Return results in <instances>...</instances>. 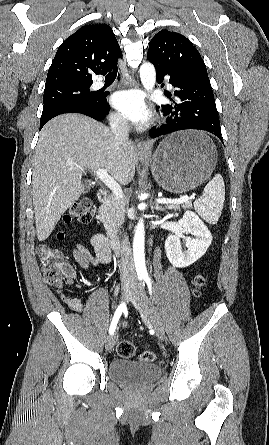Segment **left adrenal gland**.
Returning a JSON list of instances; mask_svg holds the SVG:
<instances>
[{
    "label": "left adrenal gland",
    "instance_id": "obj_1",
    "mask_svg": "<svg viewBox=\"0 0 269 445\" xmlns=\"http://www.w3.org/2000/svg\"><path fill=\"white\" fill-rule=\"evenodd\" d=\"M152 209H155L157 211H163L164 210V208L162 206L158 205V204H156L155 206H152Z\"/></svg>",
    "mask_w": 269,
    "mask_h": 445
}]
</instances>
